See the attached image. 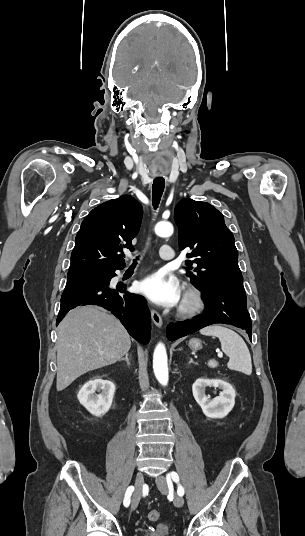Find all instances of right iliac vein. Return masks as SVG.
Returning <instances> with one entry per match:
<instances>
[{"label":"right iliac vein","mask_w":305,"mask_h":536,"mask_svg":"<svg viewBox=\"0 0 305 536\" xmlns=\"http://www.w3.org/2000/svg\"><path fill=\"white\" fill-rule=\"evenodd\" d=\"M144 479L143 474L138 473L136 475L135 479V491L133 493L132 501H131V508L135 510L140 502L141 495H142V487H143Z\"/></svg>","instance_id":"63e3f726"}]
</instances>
